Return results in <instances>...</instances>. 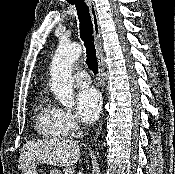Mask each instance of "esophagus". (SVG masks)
Here are the masks:
<instances>
[{
	"instance_id": "34e87169",
	"label": "esophagus",
	"mask_w": 175,
	"mask_h": 174,
	"mask_svg": "<svg viewBox=\"0 0 175 174\" xmlns=\"http://www.w3.org/2000/svg\"><path fill=\"white\" fill-rule=\"evenodd\" d=\"M89 10H90V15H91V20L93 23V34H94V40H95V47H96V55H97V61H98V68H99V79H100V84L102 86V90L104 88V78H103V72H104V57H103V49H102V36H101V28H100V23L98 19V14H97V9L92 0H85ZM103 125V120H101L98 130H97V135L100 134V131L102 129Z\"/></svg>"
}]
</instances>
